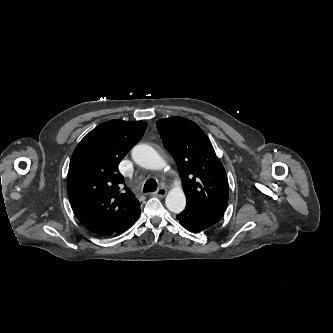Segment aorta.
I'll return each mask as SVG.
<instances>
[{
    "label": "aorta",
    "instance_id": "762f6f07",
    "mask_svg": "<svg viewBox=\"0 0 333 333\" xmlns=\"http://www.w3.org/2000/svg\"><path fill=\"white\" fill-rule=\"evenodd\" d=\"M134 162L146 169L161 170L165 167V160L154 148L146 144L136 145L132 150ZM166 207L174 213H180L186 206V197L181 187L172 188L166 196Z\"/></svg>",
    "mask_w": 333,
    "mask_h": 333
}]
</instances>
